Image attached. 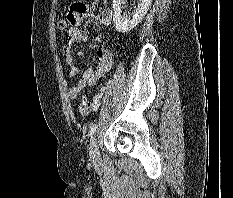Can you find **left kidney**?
Returning <instances> with one entry per match:
<instances>
[{
    "label": "left kidney",
    "mask_w": 233,
    "mask_h": 198,
    "mask_svg": "<svg viewBox=\"0 0 233 198\" xmlns=\"http://www.w3.org/2000/svg\"><path fill=\"white\" fill-rule=\"evenodd\" d=\"M124 1L125 0H113L114 25L121 33L129 32L136 27V25L142 21L152 3V0H139L138 6L135 8L132 17L127 18L122 15Z\"/></svg>",
    "instance_id": "5707ae66"
}]
</instances>
